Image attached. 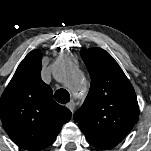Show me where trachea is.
<instances>
[{
  "mask_svg": "<svg viewBox=\"0 0 151 151\" xmlns=\"http://www.w3.org/2000/svg\"><path fill=\"white\" fill-rule=\"evenodd\" d=\"M54 99L61 104H66L70 101V94L65 89H59L55 92Z\"/></svg>",
  "mask_w": 151,
  "mask_h": 151,
  "instance_id": "1",
  "label": "trachea"
}]
</instances>
